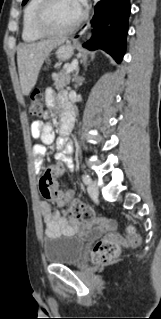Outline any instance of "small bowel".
I'll use <instances>...</instances> for the list:
<instances>
[{"label": "small bowel", "instance_id": "obj_1", "mask_svg": "<svg viewBox=\"0 0 161 319\" xmlns=\"http://www.w3.org/2000/svg\"><path fill=\"white\" fill-rule=\"evenodd\" d=\"M45 101L49 110H53L57 103L61 107L62 119L68 117L73 118V111L68 104V99L65 94H57L52 88H48L45 92ZM30 135L32 139L41 140V143H35L32 146L33 154L35 156V170L41 171L44 167L43 158L46 155L44 145H50L55 140V134L51 126L43 124L41 121H34L31 124ZM44 144V145H43ZM56 150L58 151L56 157L58 164L49 165L47 167L54 175L60 174L63 168L70 170L72 168L71 147L67 138H60L56 143ZM74 192L68 190L64 193V198L56 201V204L64 208L68 206L71 200H74ZM41 216L46 226L47 235H56L59 233L73 234L77 231L88 232L92 236L100 235L106 231L114 229V225L106 217H96L92 221L81 224L76 220H68L58 210H53L52 205L47 201H42L39 205ZM92 226H97L94 231H87Z\"/></svg>", "mask_w": 161, "mask_h": 319}]
</instances>
